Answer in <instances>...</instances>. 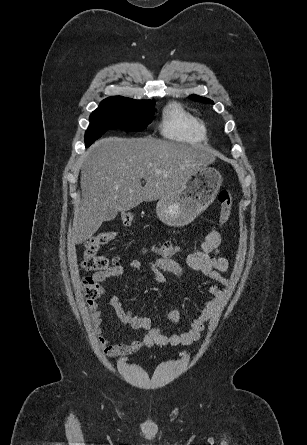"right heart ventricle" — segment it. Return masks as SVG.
Returning a JSON list of instances; mask_svg holds the SVG:
<instances>
[{
  "label": "right heart ventricle",
  "instance_id": "e07e8e85",
  "mask_svg": "<svg viewBox=\"0 0 307 445\" xmlns=\"http://www.w3.org/2000/svg\"><path fill=\"white\" fill-rule=\"evenodd\" d=\"M162 134L178 140H202L206 128L197 117L174 104L164 111Z\"/></svg>",
  "mask_w": 307,
  "mask_h": 445
}]
</instances>
